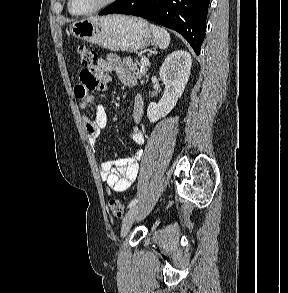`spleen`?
Returning a JSON list of instances; mask_svg holds the SVG:
<instances>
[{
  "instance_id": "spleen-1",
  "label": "spleen",
  "mask_w": 288,
  "mask_h": 293,
  "mask_svg": "<svg viewBox=\"0 0 288 293\" xmlns=\"http://www.w3.org/2000/svg\"><path fill=\"white\" fill-rule=\"evenodd\" d=\"M150 28L152 30L157 45L161 49H166L169 46L171 40L170 34L164 28L158 27L153 24L150 25Z\"/></svg>"
}]
</instances>
